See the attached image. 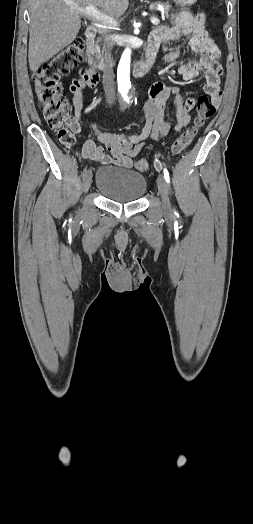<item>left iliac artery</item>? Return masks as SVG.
<instances>
[{"instance_id":"1","label":"left iliac artery","mask_w":253,"mask_h":524,"mask_svg":"<svg viewBox=\"0 0 253 524\" xmlns=\"http://www.w3.org/2000/svg\"><path fill=\"white\" fill-rule=\"evenodd\" d=\"M163 173H164L165 180L167 181V183H169L170 182V177H169L168 170L164 169Z\"/></svg>"}]
</instances>
